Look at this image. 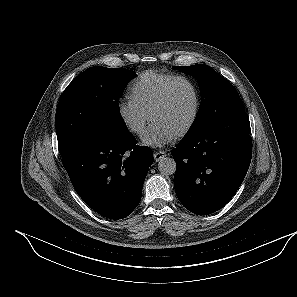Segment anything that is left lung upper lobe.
Instances as JSON below:
<instances>
[{
	"label": "left lung upper lobe",
	"instance_id": "obj_1",
	"mask_svg": "<svg viewBox=\"0 0 297 297\" xmlns=\"http://www.w3.org/2000/svg\"><path fill=\"white\" fill-rule=\"evenodd\" d=\"M173 68L192 75L198 80L202 102L190 132L203 129L237 112L245 111L234 86L210 66L197 64Z\"/></svg>",
	"mask_w": 297,
	"mask_h": 297
}]
</instances>
